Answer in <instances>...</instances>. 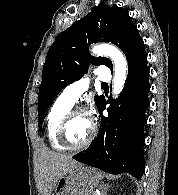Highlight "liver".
I'll use <instances>...</instances> for the list:
<instances>
[{"instance_id":"6515ba94","label":"liver","mask_w":178,"mask_h":195,"mask_svg":"<svg viewBox=\"0 0 178 195\" xmlns=\"http://www.w3.org/2000/svg\"><path fill=\"white\" fill-rule=\"evenodd\" d=\"M80 165L70 156L42 149L38 167L41 194L50 195L56 189L59 180Z\"/></svg>"}]
</instances>
